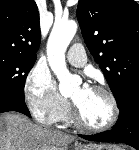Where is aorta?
Segmentation results:
<instances>
[{"label": "aorta", "instance_id": "obj_1", "mask_svg": "<svg viewBox=\"0 0 139 150\" xmlns=\"http://www.w3.org/2000/svg\"><path fill=\"white\" fill-rule=\"evenodd\" d=\"M77 31L73 20L55 21L47 43L48 62L59 80V91L64 96L73 93L77 80L68 72L65 52Z\"/></svg>", "mask_w": 139, "mask_h": 150}]
</instances>
